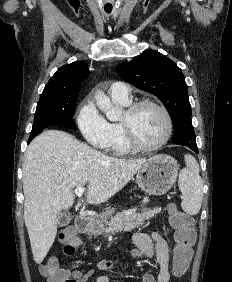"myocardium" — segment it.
I'll return each instance as SVG.
<instances>
[{"label":"myocardium","mask_w":232,"mask_h":282,"mask_svg":"<svg viewBox=\"0 0 232 282\" xmlns=\"http://www.w3.org/2000/svg\"><path fill=\"white\" fill-rule=\"evenodd\" d=\"M144 106H151L158 109L163 114L166 121L165 136L162 138V140H160L158 143L154 145L141 144L137 140L134 134V130L132 126V117L140 108ZM125 114H126V118L121 121V126L123 129L125 140L132 150L140 151V152L155 151L162 148L170 140L173 133V120L169 111L160 103L148 99L140 100L130 104L126 109Z\"/></svg>","instance_id":"obj_1"}]
</instances>
